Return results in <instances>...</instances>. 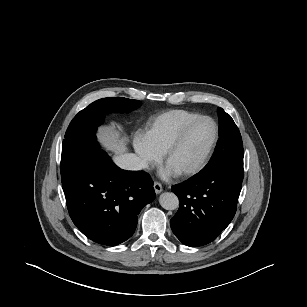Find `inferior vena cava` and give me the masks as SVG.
Returning a JSON list of instances; mask_svg holds the SVG:
<instances>
[{
    "label": "inferior vena cava",
    "instance_id": "1",
    "mask_svg": "<svg viewBox=\"0 0 307 307\" xmlns=\"http://www.w3.org/2000/svg\"><path fill=\"white\" fill-rule=\"evenodd\" d=\"M116 164L125 170H142L146 168V163L135 154H123L115 159Z\"/></svg>",
    "mask_w": 307,
    "mask_h": 307
}]
</instances>
